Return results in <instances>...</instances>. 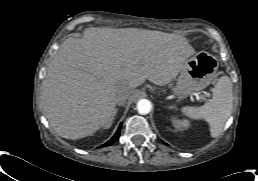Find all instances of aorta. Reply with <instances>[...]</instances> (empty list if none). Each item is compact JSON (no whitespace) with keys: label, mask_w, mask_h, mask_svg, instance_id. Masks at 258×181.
Returning a JSON list of instances; mask_svg holds the SVG:
<instances>
[{"label":"aorta","mask_w":258,"mask_h":181,"mask_svg":"<svg viewBox=\"0 0 258 181\" xmlns=\"http://www.w3.org/2000/svg\"><path fill=\"white\" fill-rule=\"evenodd\" d=\"M151 108V102L147 99H141L137 103V110L140 114H148Z\"/></svg>","instance_id":"aorta-1"}]
</instances>
